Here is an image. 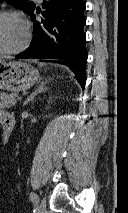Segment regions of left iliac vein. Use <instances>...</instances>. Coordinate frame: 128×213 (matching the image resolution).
I'll return each instance as SVG.
<instances>
[{
  "instance_id": "4c4485c4",
  "label": "left iliac vein",
  "mask_w": 128,
  "mask_h": 213,
  "mask_svg": "<svg viewBox=\"0 0 128 213\" xmlns=\"http://www.w3.org/2000/svg\"><path fill=\"white\" fill-rule=\"evenodd\" d=\"M37 206H38L39 213H45L46 203L43 199L38 201Z\"/></svg>"
}]
</instances>
